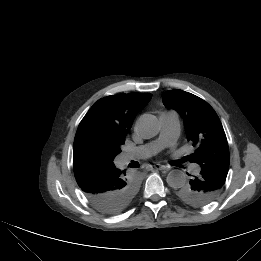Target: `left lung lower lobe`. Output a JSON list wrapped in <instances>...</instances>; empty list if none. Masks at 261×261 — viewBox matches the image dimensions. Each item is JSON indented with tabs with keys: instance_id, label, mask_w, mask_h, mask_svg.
I'll list each match as a JSON object with an SVG mask.
<instances>
[{
	"instance_id": "0a47b994",
	"label": "left lung lower lobe",
	"mask_w": 261,
	"mask_h": 261,
	"mask_svg": "<svg viewBox=\"0 0 261 261\" xmlns=\"http://www.w3.org/2000/svg\"><path fill=\"white\" fill-rule=\"evenodd\" d=\"M228 168L229 166L225 165L204 164L201 166L200 173L190 179L189 183H185V185H187L192 191L203 194L206 205L220 194L221 188L226 180Z\"/></svg>"
}]
</instances>
